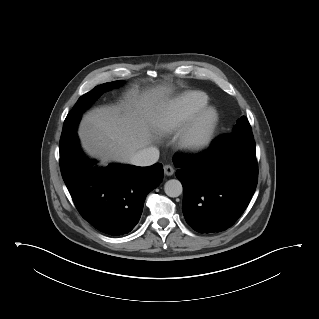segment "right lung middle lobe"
I'll list each match as a JSON object with an SVG mask.
<instances>
[{"mask_svg": "<svg viewBox=\"0 0 319 319\" xmlns=\"http://www.w3.org/2000/svg\"><path fill=\"white\" fill-rule=\"evenodd\" d=\"M120 84L121 81H113L96 86L93 90L79 98L74 108L70 111L64 121L60 139V147H63L66 143H68L69 140L76 134L77 125L81 118L82 112L87 109L104 92L116 88Z\"/></svg>", "mask_w": 319, "mask_h": 319, "instance_id": "obj_1", "label": "right lung middle lobe"}]
</instances>
